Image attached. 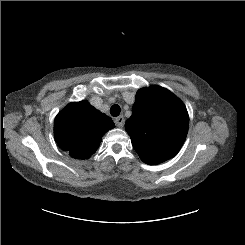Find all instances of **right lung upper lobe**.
Returning a JSON list of instances; mask_svg holds the SVG:
<instances>
[{"instance_id":"cb5924a9","label":"right lung upper lobe","mask_w":245,"mask_h":245,"mask_svg":"<svg viewBox=\"0 0 245 245\" xmlns=\"http://www.w3.org/2000/svg\"><path fill=\"white\" fill-rule=\"evenodd\" d=\"M115 127L107 115L87 101L68 104L55 118V139L72 157L85 159L99 147L102 136Z\"/></svg>"}]
</instances>
